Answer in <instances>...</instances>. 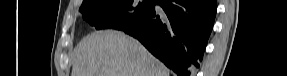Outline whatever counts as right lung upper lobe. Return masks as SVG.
<instances>
[{"label": "right lung upper lobe", "mask_w": 287, "mask_h": 76, "mask_svg": "<svg viewBox=\"0 0 287 76\" xmlns=\"http://www.w3.org/2000/svg\"><path fill=\"white\" fill-rule=\"evenodd\" d=\"M87 1H88V0H83V3H84V2H87Z\"/></svg>", "instance_id": "1"}]
</instances>
